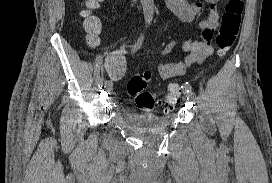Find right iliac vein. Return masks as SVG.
<instances>
[{"label":"right iliac vein","instance_id":"63e3f726","mask_svg":"<svg viewBox=\"0 0 272 183\" xmlns=\"http://www.w3.org/2000/svg\"><path fill=\"white\" fill-rule=\"evenodd\" d=\"M105 89H106V91H108L109 93L112 92V90H113V84H112L111 81H108V82L105 84Z\"/></svg>","mask_w":272,"mask_h":183}]
</instances>
